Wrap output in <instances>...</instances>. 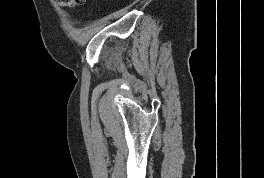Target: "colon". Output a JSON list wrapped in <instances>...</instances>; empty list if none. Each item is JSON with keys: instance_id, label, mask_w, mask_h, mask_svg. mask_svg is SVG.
I'll return each mask as SVG.
<instances>
[{"instance_id": "colon-1", "label": "colon", "mask_w": 264, "mask_h": 178, "mask_svg": "<svg viewBox=\"0 0 264 178\" xmlns=\"http://www.w3.org/2000/svg\"><path fill=\"white\" fill-rule=\"evenodd\" d=\"M57 4L63 7H74L84 4L85 0H55Z\"/></svg>"}]
</instances>
